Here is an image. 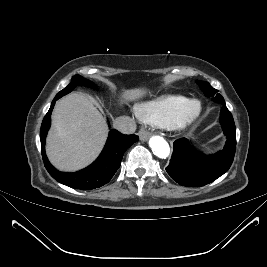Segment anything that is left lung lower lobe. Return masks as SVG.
Segmentation results:
<instances>
[{
    "label": "left lung lower lobe",
    "instance_id": "1",
    "mask_svg": "<svg viewBox=\"0 0 267 267\" xmlns=\"http://www.w3.org/2000/svg\"><path fill=\"white\" fill-rule=\"evenodd\" d=\"M220 123L227 142L224 149L214 155L205 156L195 151L186 138L174 142V151L166 167L174 181L188 187L204 186L228 171L234 159L236 135L233 117L225 105L221 108Z\"/></svg>",
    "mask_w": 267,
    "mask_h": 267
}]
</instances>
